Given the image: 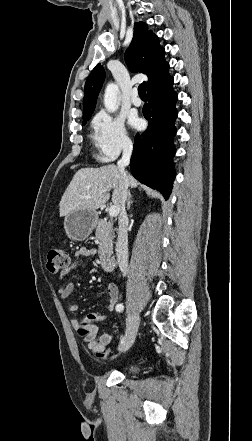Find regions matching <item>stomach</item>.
I'll use <instances>...</instances> for the list:
<instances>
[{"mask_svg":"<svg viewBox=\"0 0 252 441\" xmlns=\"http://www.w3.org/2000/svg\"><path fill=\"white\" fill-rule=\"evenodd\" d=\"M98 215L92 210H75L64 218V228L69 238L85 240L96 227Z\"/></svg>","mask_w":252,"mask_h":441,"instance_id":"0dacf381","label":"stomach"}]
</instances>
